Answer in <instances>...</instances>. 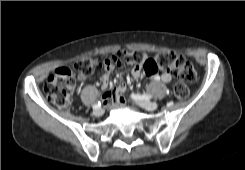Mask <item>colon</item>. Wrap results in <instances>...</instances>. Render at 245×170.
<instances>
[{"instance_id": "5ec220e1", "label": "colon", "mask_w": 245, "mask_h": 170, "mask_svg": "<svg viewBox=\"0 0 245 170\" xmlns=\"http://www.w3.org/2000/svg\"><path fill=\"white\" fill-rule=\"evenodd\" d=\"M121 61L130 63L138 61L142 63L144 69L148 72L154 69L158 62L155 56L148 53L123 52L96 61V66H94L93 60L84 61L80 65V73L90 77L93 74L99 73L102 69H109L114 63H120ZM162 63L172 72L175 78L180 80L176 85V90L179 93L186 92L188 89L186 82L192 81L195 76L190 59L186 56L178 55L164 59ZM77 83L78 77L75 74L69 70H60L48 76L44 83V91L60 106L67 107Z\"/></svg>"}]
</instances>
